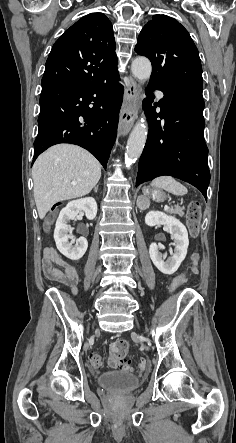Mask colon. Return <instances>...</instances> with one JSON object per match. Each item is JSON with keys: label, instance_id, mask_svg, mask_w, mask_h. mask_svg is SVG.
I'll return each instance as SVG.
<instances>
[{"label": "colon", "instance_id": "5ec220e1", "mask_svg": "<svg viewBox=\"0 0 236 443\" xmlns=\"http://www.w3.org/2000/svg\"><path fill=\"white\" fill-rule=\"evenodd\" d=\"M201 204L198 201H192L187 209L186 213V223L190 235L195 238L198 236L200 231V220H201ZM200 257L197 252L191 254V270L192 274L197 273L198 263ZM185 276L182 275L178 277L171 285V289L175 290L182 282H184ZM129 343L125 339H117L113 341L109 347V358L108 366L110 368H122L129 370L131 368V362L127 361L126 355L129 351ZM91 364L95 369H103L105 366L104 359L98 353L91 356ZM147 369L146 363L141 361L139 363V371L144 372Z\"/></svg>", "mask_w": 236, "mask_h": 443}]
</instances>
